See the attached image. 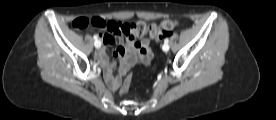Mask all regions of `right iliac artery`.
I'll return each mask as SVG.
<instances>
[{
    "mask_svg": "<svg viewBox=\"0 0 276 120\" xmlns=\"http://www.w3.org/2000/svg\"><path fill=\"white\" fill-rule=\"evenodd\" d=\"M93 38L95 39V43H94L95 47H97V48L100 47L101 46V42H98L97 36L95 35Z\"/></svg>",
    "mask_w": 276,
    "mask_h": 120,
    "instance_id": "obj_1",
    "label": "right iliac artery"
}]
</instances>
